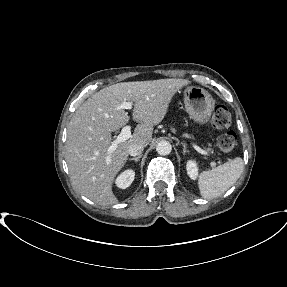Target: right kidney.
I'll return each mask as SVG.
<instances>
[{
  "mask_svg": "<svg viewBox=\"0 0 287 287\" xmlns=\"http://www.w3.org/2000/svg\"><path fill=\"white\" fill-rule=\"evenodd\" d=\"M135 177V172L133 170H125L122 172L116 179V185L121 188L125 189L131 185Z\"/></svg>",
  "mask_w": 287,
  "mask_h": 287,
  "instance_id": "ca27d5eb",
  "label": "right kidney"
}]
</instances>
